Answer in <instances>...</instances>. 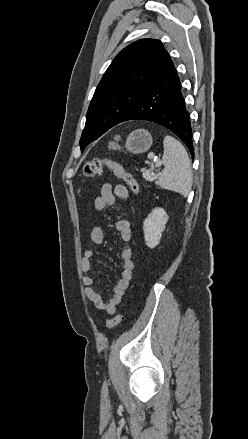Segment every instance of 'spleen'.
Segmentation results:
<instances>
[{"label":"spleen","mask_w":248,"mask_h":439,"mask_svg":"<svg viewBox=\"0 0 248 439\" xmlns=\"http://www.w3.org/2000/svg\"><path fill=\"white\" fill-rule=\"evenodd\" d=\"M164 169L158 176L157 185L187 197L191 191L193 176L190 160L184 146L174 137L166 136L163 141Z\"/></svg>","instance_id":"3e777b00"}]
</instances>
